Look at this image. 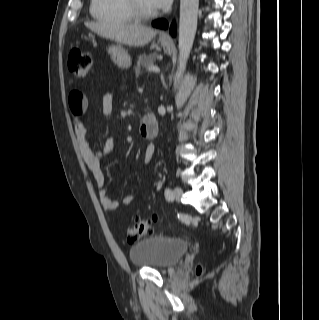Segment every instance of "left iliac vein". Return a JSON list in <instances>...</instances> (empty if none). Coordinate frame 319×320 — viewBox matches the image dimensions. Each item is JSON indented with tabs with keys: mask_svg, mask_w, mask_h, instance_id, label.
Returning <instances> with one entry per match:
<instances>
[{
	"mask_svg": "<svg viewBox=\"0 0 319 320\" xmlns=\"http://www.w3.org/2000/svg\"><path fill=\"white\" fill-rule=\"evenodd\" d=\"M182 194H183L182 189L179 187H176L173 191V198L177 201H180Z\"/></svg>",
	"mask_w": 319,
	"mask_h": 320,
	"instance_id": "left-iliac-vein-1",
	"label": "left iliac vein"
}]
</instances>
